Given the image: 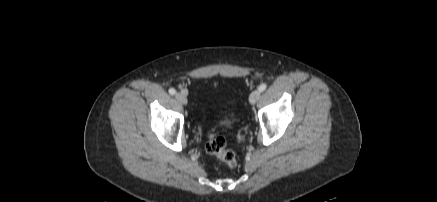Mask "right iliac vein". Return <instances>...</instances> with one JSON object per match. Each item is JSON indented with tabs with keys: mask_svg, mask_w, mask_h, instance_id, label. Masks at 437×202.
Wrapping results in <instances>:
<instances>
[{
	"mask_svg": "<svg viewBox=\"0 0 437 202\" xmlns=\"http://www.w3.org/2000/svg\"><path fill=\"white\" fill-rule=\"evenodd\" d=\"M175 97H176V99H177L181 104H183V105H186L187 102H188V101H187L186 94H185L184 92H178V93H176Z\"/></svg>",
	"mask_w": 437,
	"mask_h": 202,
	"instance_id": "63e3f726",
	"label": "right iliac vein"
}]
</instances>
